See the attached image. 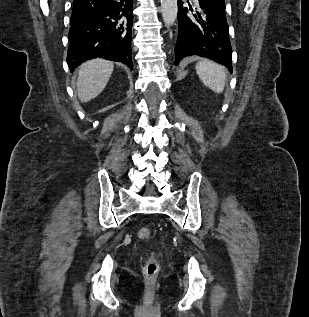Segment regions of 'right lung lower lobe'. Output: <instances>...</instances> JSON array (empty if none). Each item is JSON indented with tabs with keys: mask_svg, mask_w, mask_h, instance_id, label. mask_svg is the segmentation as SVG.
<instances>
[{
	"mask_svg": "<svg viewBox=\"0 0 309 317\" xmlns=\"http://www.w3.org/2000/svg\"><path fill=\"white\" fill-rule=\"evenodd\" d=\"M133 17V0H74L67 53L70 71L97 57L122 62L132 70Z\"/></svg>",
	"mask_w": 309,
	"mask_h": 317,
	"instance_id": "right-lung-lower-lobe-1",
	"label": "right lung lower lobe"
}]
</instances>
